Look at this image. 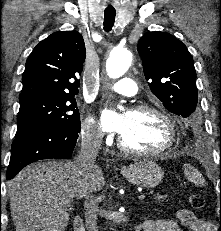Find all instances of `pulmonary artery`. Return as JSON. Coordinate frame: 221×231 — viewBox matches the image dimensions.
I'll use <instances>...</instances> for the list:
<instances>
[{
    "mask_svg": "<svg viewBox=\"0 0 221 231\" xmlns=\"http://www.w3.org/2000/svg\"><path fill=\"white\" fill-rule=\"evenodd\" d=\"M110 89L120 95L132 97L137 94L135 82L130 78H123L110 84Z\"/></svg>",
    "mask_w": 221,
    "mask_h": 231,
    "instance_id": "1",
    "label": "pulmonary artery"
}]
</instances>
